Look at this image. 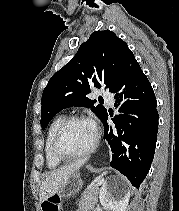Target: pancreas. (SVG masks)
I'll use <instances>...</instances> for the list:
<instances>
[{"instance_id":"pancreas-1","label":"pancreas","mask_w":179,"mask_h":211,"mask_svg":"<svg viewBox=\"0 0 179 211\" xmlns=\"http://www.w3.org/2000/svg\"><path fill=\"white\" fill-rule=\"evenodd\" d=\"M99 187L98 183H92L87 187V189L82 193L80 202L78 204L79 208L77 211H91L98 200Z\"/></svg>"}]
</instances>
